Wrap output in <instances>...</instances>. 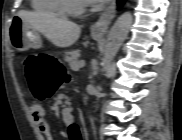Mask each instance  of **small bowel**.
I'll return each instance as SVG.
<instances>
[{
  "mask_svg": "<svg viewBox=\"0 0 182 140\" xmlns=\"http://www.w3.org/2000/svg\"><path fill=\"white\" fill-rule=\"evenodd\" d=\"M30 111L39 131L42 133L45 140H54L50 124L46 119V112L44 107L40 104H33L30 108ZM66 121L70 122L71 119H66Z\"/></svg>",
  "mask_w": 182,
  "mask_h": 140,
  "instance_id": "1",
  "label": "small bowel"
}]
</instances>
